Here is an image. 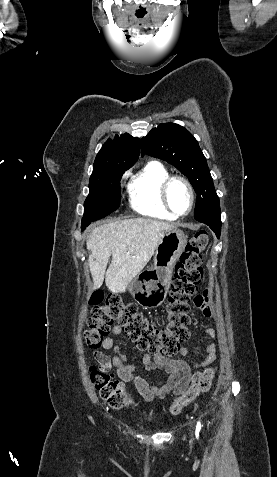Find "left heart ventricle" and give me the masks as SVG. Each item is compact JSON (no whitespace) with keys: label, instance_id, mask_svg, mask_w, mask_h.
I'll return each instance as SVG.
<instances>
[{"label":"left heart ventricle","instance_id":"left-heart-ventricle-1","mask_svg":"<svg viewBox=\"0 0 277 477\" xmlns=\"http://www.w3.org/2000/svg\"><path fill=\"white\" fill-rule=\"evenodd\" d=\"M169 201L172 208L179 214L187 212L190 205V195L186 185L181 181H174L169 188Z\"/></svg>","mask_w":277,"mask_h":477}]
</instances>
